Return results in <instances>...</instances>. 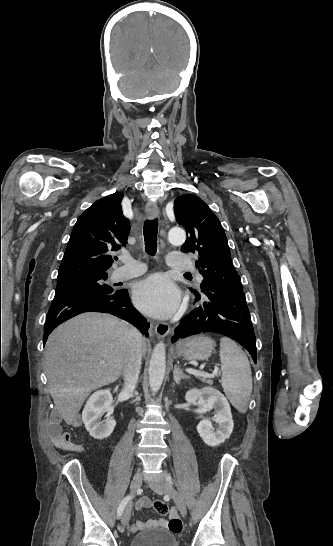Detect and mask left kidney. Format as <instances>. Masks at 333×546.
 Instances as JSON below:
<instances>
[{
	"label": "left kidney",
	"mask_w": 333,
	"mask_h": 546,
	"mask_svg": "<svg viewBox=\"0 0 333 546\" xmlns=\"http://www.w3.org/2000/svg\"><path fill=\"white\" fill-rule=\"evenodd\" d=\"M185 399L189 403L197 402L208 411H215L213 421L217 423V428L212 426L209 419H203L197 425V431L205 444L214 447L230 437L234 426L231 408L219 390L212 387L192 389L186 393Z\"/></svg>",
	"instance_id": "1"
}]
</instances>
